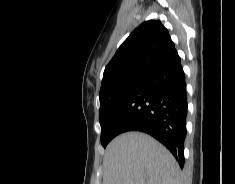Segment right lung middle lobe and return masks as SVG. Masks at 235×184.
<instances>
[{"label":"right lung middle lobe","instance_id":"obj_1","mask_svg":"<svg viewBox=\"0 0 235 184\" xmlns=\"http://www.w3.org/2000/svg\"><path fill=\"white\" fill-rule=\"evenodd\" d=\"M143 78L130 79L118 87L106 91L100 97L99 122L101 124V144H107L116 136L111 130L122 107L133 90L138 87Z\"/></svg>","mask_w":235,"mask_h":184}]
</instances>
